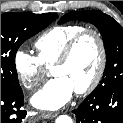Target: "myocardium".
<instances>
[{"label": "myocardium", "mask_w": 123, "mask_h": 123, "mask_svg": "<svg viewBox=\"0 0 123 123\" xmlns=\"http://www.w3.org/2000/svg\"><path fill=\"white\" fill-rule=\"evenodd\" d=\"M86 36H92L97 41L98 50H99V62L97 65L96 72L91 78V80L89 81V83L86 86L75 90V92L78 95H86L92 92L98 86L104 75L106 63H107V53H106L105 41L101 33L93 28H85L81 30L68 41V43L65 45L63 49L61 56L53 65V68H55L57 66H61L68 63L76 47L78 46L79 42Z\"/></svg>", "instance_id": "f54148a6"}]
</instances>
